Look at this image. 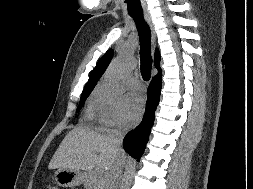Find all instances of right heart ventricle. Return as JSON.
<instances>
[{
    "label": "right heart ventricle",
    "instance_id": "e07e8e85",
    "mask_svg": "<svg viewBox=\"0 0 253 189\" xmlns=\"http://www.w3.org/2000/svg\"><path fill=\"white\" fill-rule=\"evenodd\" d=\"M96 97H97V91L93 94L86 111V116L89 120H93L97 112L96 111Z\"/></svg>",
    "mask_w": 253,
    "mask_h": 189
}]
</instances>
